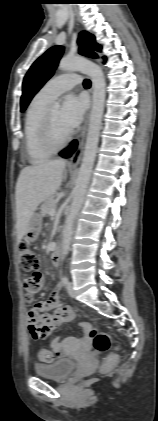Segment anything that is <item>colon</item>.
Instances as JSON below:
<instances>
[{"label":"colon","instance_id":"obj_1","mask_svg":"<svg viewBox=\"0 0 158 421\" xmlns=\"http://www.w3.org/2000/svg\"><path fill=\"white\" fill-rule=\"evenodd\" d=\"M19 262L21 270L23 271V284L27 292L33 293L40 288L39 279V260L35 252L25 242L19 244ZM89 336L92 339L93 349L97 352H104L110 349L112 344L111 336L97 329H91ZM38 358L45 363H51L54 360L52 351L46 348L38 350ZM118 363V355L110 353L106 356L102 363V370L106 371L115 367Z\"/></svg>","mask_w":158,"mask_h":421}]
</instances>
